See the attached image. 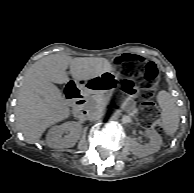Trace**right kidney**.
Here are the masks:
<instances>
[{
	"label": "right kidney",
	"mask_w": 194,
	"mask_h": 193,
	"mask_svg": "<svg viewBox=\"0 0 194 193\" xmlns=\"http://www.w3.org/2000/svg\"><path fill=\"white\" fill-rule=\"evenodd\" d=\"M79 130V126L74 122L54 126L46 136V143L50 148L55 149L73 147L78 140Z\"/></svg>",
	"instance_id": "1"
}]
</instances>
